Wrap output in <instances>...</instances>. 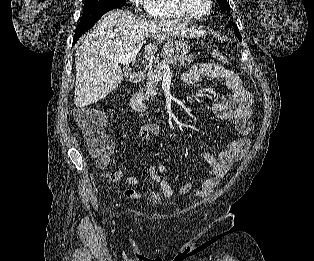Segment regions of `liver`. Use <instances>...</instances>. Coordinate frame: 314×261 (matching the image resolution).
I'll return each instance as SVG.
<instances>
[{
	"label": "liver",
	"instance_id": "6515ba94",
	"mask_svg": "<svg viewBox=\"0 0 314 261\" xmlns=\"http://www.w3.org/2000/svg\"><path fill=\"white\" fill-rule=\"evenodd\" d=\"M202 34L176 21L141 19L119 9L107 12L92 32L83 37L75 53L76 107H85L104 99L121 83L123 73L113 57L128 54L148 37L162 43L175 36L195 38ZM156 51L154 44L145 47L148 55Z\"/></svg>",
	"mask_w": 314,
	"mask_h": 261
}]
</instances>
